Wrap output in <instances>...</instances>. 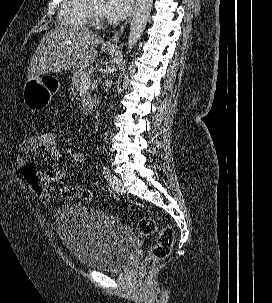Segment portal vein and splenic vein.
<instances>
[{
    "instance_id": "portal-vein-and-splenic-vein-1",
    "label": "portal vein and splenic vein",
    "mask_w": 272,
    "mask_h": 303,
    "mask_svg": "<svg viewBox=\"0 0 272 303\" xmlns=\"http://www.w3.org/2000/svg\"><path fill=\"white\" fill-rule=\"evenodd\" d=\"M90 75H87L86 77H84L83 79H82V82H81V85L83 86V87H86V86H89L90 84H91V79H90Z\"/></svg>"
}]
</instances>
